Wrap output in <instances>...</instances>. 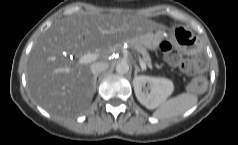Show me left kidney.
<instances>
[{"mask_svg":"<svg viewBox=\"0 0 238 145\" xmlns=\"http://www.w3.org/2000/svg\"><path fill=\"white\" fill-rule=\"evenodd\" d=\"M133 86L138 101L148 109L157 108L174 91L173 82L161 77L136 76Z\"/></svg>","mask_w":238,"mask_h":145,"instance_id":"left-kidney-1","label":"left kidney"}]
</instances>
